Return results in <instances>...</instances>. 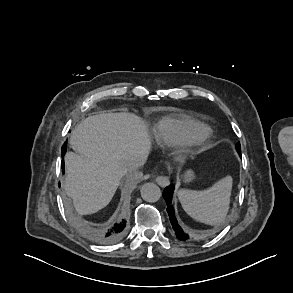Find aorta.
I'll use <instances>...</instances> for the list:
<instances>
[{"label": "aorta", "mask_w": 293, "mask_h": 293, "mask_svg": "<svg viewBox=\"0 0 293 293\" xmlns=\"http://www.w3.org/2000/svg\"><path fill=\"white\" fill-rule=\"evenodd\" d=\"M140 192L141 197L147 202H156L161 197V190L155 183H145L142 185Z\"/></svg>", "instance_id": "obj_1"}]
</instances>
